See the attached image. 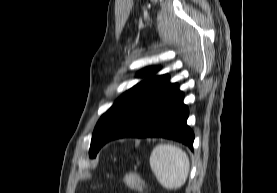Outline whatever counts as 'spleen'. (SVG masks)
<instances>
[{"label":"spleen","mask_w":277,"mask_h":193,"mask_svg":"<svg viewBox=\"0 0 277 193\" xmlns=\"http://www.w3.org/2000/svg\"><path fill=\"white\" fill-rule=\"evenodd\" d=\"M150 167L165 189L175 190L185 183L190 170V161L181 148L160 144L151 153Z\"/></svg>","instance_id":"3e777b00"}]
</instances>
